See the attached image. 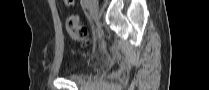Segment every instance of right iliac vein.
I'll list each match as a JSON object with an SVG mask.
<instances>
[{"label": "right iliac vein", "mask_w": 209, "mask_h": 90, "mask_svg": "<svg viewBox=\"0 0 209 90\" xmlns=\"http://www.w3.org/2000/svg\"><path fill=\"white\" fill-rule=\"evenodd\" d=\"M89 11L92 19L97 20L98 19V5L96 1H89Z\"/></svg>", "instance_id": "obj_1"}]
</instances>
